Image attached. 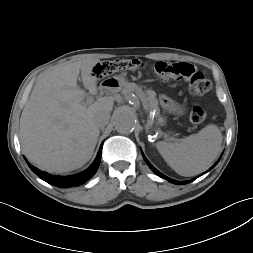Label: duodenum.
<instances>
[{"label":"duodenum","mask_w":253,"mask_h":253,"mask_svg":"<svg viewBox=\"0 0 253 253\" xmlns=\"http://www.w3.org/2000/svg\"><path fill=\"white\" fill-rule=\"evenodd\" d=\"M111 86H113L112 81H105V82H103V83L101 84L100 90H101V91H107V90H109V88H110Z\"/></svg>","instance_id":"410a0bca"}]
</instances>
